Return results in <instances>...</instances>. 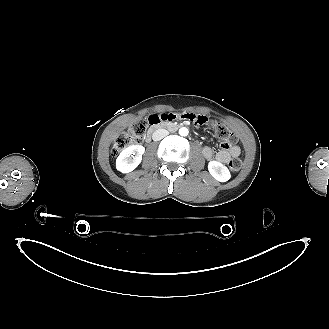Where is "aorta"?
Wrapping results in <instances>:
<instances>
[{
  "label": "aorta",
  "instance_id": "762f6f07",
  "mask_svg": "<svg viewBox=\"0 0 329 329\" xmlns=\"http://www.w3.org/2000/svg\"><path fill=\"white\" fill-rule=\"evenodd\" d=\"M189 133V130L186 127H182L179 129V135L181 136H187Z\"/></svg>",
  "mask_w": 329,
  "mask_h": 329
}]
</instances>
